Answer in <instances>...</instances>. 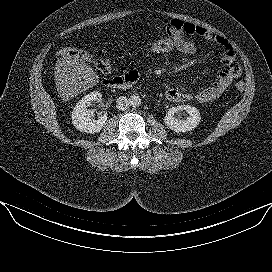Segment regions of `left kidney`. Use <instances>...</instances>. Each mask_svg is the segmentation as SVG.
I'll return each mask as SVG.
<instances>
[{"label":"left kidney","instance_id":"obj_1","mask_svg":"<svg viewBox=\"0 0 272 272\" xmlns=\"http://www.w3.org/2000/svg\"><path fill=\"white\" fill-rule=\"evenodd\" d=\"M185 110L189 116L185 120L175 117V114ZM201 116L199 110L191 105H179L168 110L164 117L165 125L175 132H187L194 130L200 123Z\"/></svg>","mask_w":272,"mask_h":272}]
</instances>
